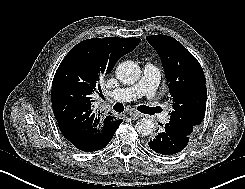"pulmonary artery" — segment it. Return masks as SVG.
<instances>
[{"mask_svg": "<svg viewBox=\"0 0 245 189\" xmlns=\"http://www.w3.org/2000/svg\"><path fill=\"white\" fill-rule=\"evenodd\" d=\"M159 81L160 69L151 63H146L137 83L115 89L108 93V97L117 102H127L145 96L147 104L151 105Z\"/></svg>", "mask_w": 245, "mask_h": 189, "instance_id": "pulmonary-artery-1", "label": "pulmonary artery"}]
</instances>
